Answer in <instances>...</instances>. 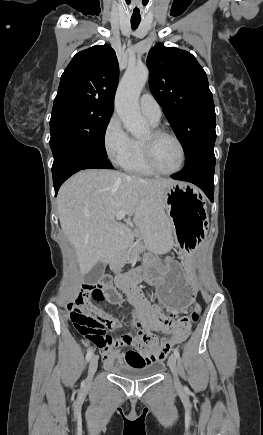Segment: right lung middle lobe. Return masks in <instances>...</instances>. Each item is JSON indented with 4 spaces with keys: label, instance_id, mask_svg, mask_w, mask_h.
<instances>
[{
    "label": "right lung middle lobe",
    "instance_id": "1",
    "mask_svg": "<svg viewBox=\"0 0 263 435\" xmlns=\"http://www.w3.org/2000/svg\"><path fill=\"white\" fill-rule=\"evenodd\" d=\"M113 110L93 103L53 106L50 147L54 161L69 150H81L107 157L104 137Z\"/></svg>",
    "mask_w": 263,
    "mask_h": 435
}]
</instances>
